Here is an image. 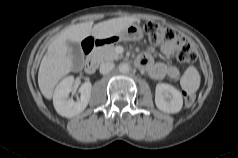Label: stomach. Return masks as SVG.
I'll return each mask as SVG.
<instances>
[{
	"label": "stomach",
	"instance_id": "obj_1",
	"mask_svg": "<svg viewBox=\"0 0 238 158\" xmlns=\"http://www.w3.org/2000/svg\"><path fill=\"white\" fill-rule=\"evenodd\" d=\"M143 38V31L139 25L131 24L118 34L109 37L110 42L138 41Z\"/></svg>",
	"mask_w": 238,
	"mask_h": 158
}]
</instances>
